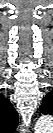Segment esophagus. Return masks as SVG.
I'll return each instance as SVG.
<instances>
[{"instance_id": "obj_1", "label": "esophagus", "mask_w": 53, "mask_h": 133, "mask_svg": "<svg viewBox=\"0 0 53 133\" xmlns=\"http://www.w3.org/2000/svg\"><path fill=\"white\" fill-rule=\"evenodd\" d=\"M22 133H30V132L27 131V130H25V129H23V130H22Z\"/></svg>"}]
</instances>
